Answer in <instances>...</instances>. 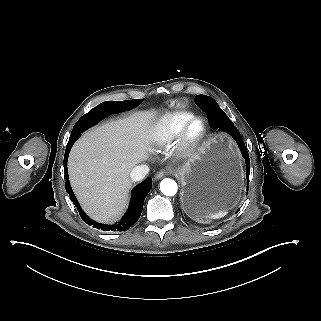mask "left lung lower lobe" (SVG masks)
Listing matches in <instances>:
<instances>
[{
  "label": "left lung lower lobe",
  "mask_w": 321,
  "mask_h": 321,
  "mask_svg": "<svg viewBox=\"0 0 321 321\" xmlns=\"http://www.w3.org/2000/svg\"><path fill=\"white\" fill-rule=\"evenodd\" d=\"M206 112L208 115V121L210 126L213 129L219 128V130L225 131L229 133L237 142L241 153L246 161L247 171V186L249 184V173H250V159L245 147L244 141L241 137V134L234 126L233 122L228 118V116L224 113V111L218 105H211L206 108ZM248 190V187H247Z\"/></svg>",
  "instance_id": "left-lung-lower-lobe-1"
}]
</instances>
